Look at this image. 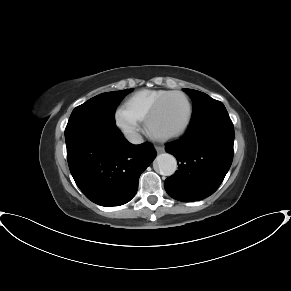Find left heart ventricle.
Here are the masks:
<instances>
[{
    "mask_svg": "<svg viewBox=\"0 0 291 291\" xmlns=\"http://www.w3.org/2000/svg\"><path fill=\"white\" fill-rule=\"evenodd\" d=\"M187 117V105L183 97L173 95L162 104L154 119V128L160 132H170L181 127Z\"/></svg>",
    "mask_w": 291,
    "mask_h": 291,
    "instance_id": "left-heart-ventricle-1",
    "label": "left heart ventricle"
}]
</instances>
